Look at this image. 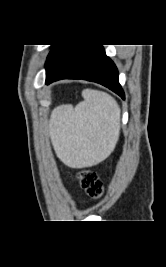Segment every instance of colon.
<instances>
[{"label":"colon","mask_w":166,"mask_h":267,"mask_svg":"<svg viewBox=\"0 0 166 267\" xmlns=\"http://www.w3.org/2000/svg\"><path fill=\"white\" fill-rule=\"evenodd\" d=\"M81 188L92 199H99L104 192L98 174L92 170H82L77 176Z\"/></svg>","instance_id":"5ec220e1"}]
</instances>
